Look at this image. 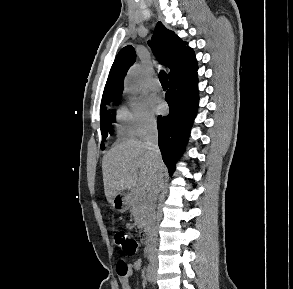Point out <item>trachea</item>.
Instances as JSON below:
<instances>
[{
    "mask_svg": "<svg viewBox=\"0 0 293 289\" xmlns=\"http://www.w3.org/2000/svg\"><path fill=\"white\" fill-rule=\"evenodd\" d=\"M159 80L162 86H168V75L165 71H160L159 73Z\"/></svg>",
    "mask_w": 293,
    "mask_h": 289,
    "instance_id": "1",
    "label": "trachea"
}]
</instances>
